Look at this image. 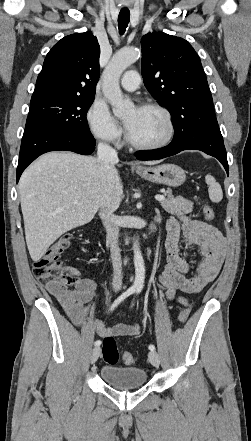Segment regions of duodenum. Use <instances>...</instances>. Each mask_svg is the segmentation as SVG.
<instances>
[{"mask_svg": "<svg viewBox=\"0 0 251 441\" xmlns=\"http://www.w3.org/2000/svg\"><path fill=\"white\" fill-rule=\"evenodd\" d=\"M148 230H149V234H153L156 231V221H153L150 224Z\"/></svg>", "mask_w": 251, "mask_h": 441, "instance_id": "410a0bca", "label": "duodenum"}]
</instances>
